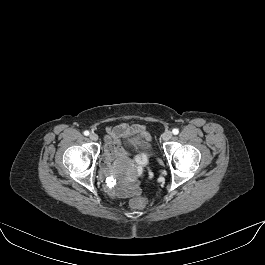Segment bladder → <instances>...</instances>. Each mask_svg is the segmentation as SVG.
<instances>
[{
	"label": "bladder",
	"mask_w": 265,
	"mask_h": 265,
	"mask_svg": "<svg viewBox=\"0 0 265 265\" xmlns=\"http://www.w3.org/2000/svg\"><path fill=\"white\" fill-rule=\"evenodd\" d=\"M130 145L133 146L134 148H145L147 149L148 145L145 141L138 139V138H134L130 141Z\"/></svg>",
	"instance_id": "bladder-1"
}]
</instances>
